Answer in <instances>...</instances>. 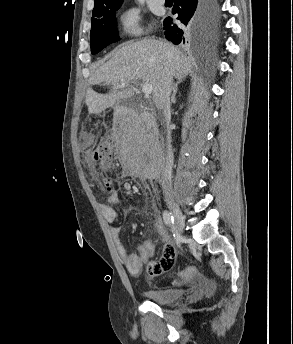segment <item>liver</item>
Segmentation results:
<instances>
[{
	"label": "liver",
	"mask_w": 293,
	"mask_h": 344,
	"mask_svg": "<svg viewBox=\"0 0 293 344\" xmlns=\"http://www.w3.org/2000/svg\"><path fill=\"white\" fill-rule=\"evenodd\" d=\"M190 71V59L169 42L154 38L129 42L118 49L90 78V84L112 85L113 88L105 95L88 89V111L99 114L119 101L131 98L135 92L133 85L139 81L153 86V101L160 108L158 95L167 73L181 81Z\"/></svg>",
	"instance_id": "obj_1"
}]
</instances>
